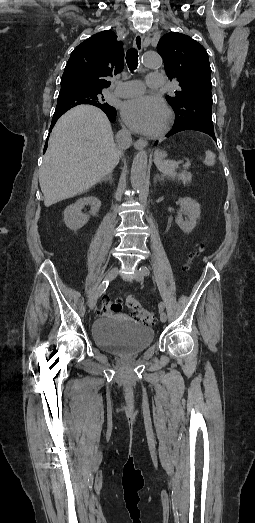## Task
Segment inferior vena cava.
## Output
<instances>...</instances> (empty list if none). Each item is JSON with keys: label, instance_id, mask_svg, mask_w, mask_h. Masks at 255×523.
Returning a JSON list of instances; mask_svg holds the SVG:
<instances>
[{"label": "inferior vena cava", "instance_id": "obj_1", "mask_svg": "<svg viewBox=\"0 0 255 523\" xmlns=\"http://www.w3.org/2000/svg\"><path fill=\"white\" fill-rule=\"evenodd\" d=\"M116 148L119 152V154H123L124 150H127V148H129V146H131V132H129V130H127V128H125V126H123L122 130H120V132H118L117 136H116Z\"/></svg>", "mask_w": 255, "mask_h": 523}]
</instances>
